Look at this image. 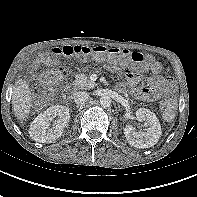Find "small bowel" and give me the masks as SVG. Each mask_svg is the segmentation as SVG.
<instances>
[{"mask_svg":"<svg viewBox=\"0 0 197 197\" xmlns=\"http://www.w3.org/2000/svg\"><path fill=\"white\" fill-rule=\"evenodd\" d=\"M120 65L124 69L126 79V82L119 86L121 90L130 91L139 100L155 101L164 96L173 99L175 86L172 80L161 76L163 67L160 62L155 61L150 65L151 76L146 85L140 84V77L129 67V62L120 61Z\"/></svg>","mask_w":197,"mask_h":197,"instance_id":"1","label":"small bowel"}]
</instances>
